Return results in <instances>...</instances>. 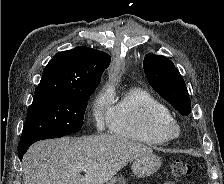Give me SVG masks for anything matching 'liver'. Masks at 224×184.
<instances>
[{
	"label": "liver",
	"mask_w": 224,
	"mask_h": 184,
	"mask_svg": "<svg viewBox=\"0 0 224 184\" xmlns=\"http://www.w3.org/2000/svg\"><path fill=\"white\" fill-rule=\"evenodd\" d=\"M152 152L138 142L106 134L39 141L23 157V180L24 184H104L130 161Z\"/></svg>",
	"instance_id": "6515ba94"
}]
</instances>
